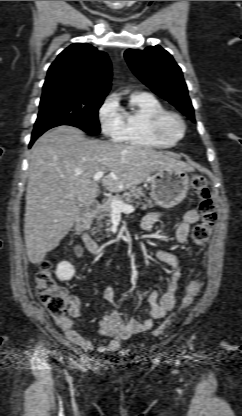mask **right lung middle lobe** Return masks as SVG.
I'll use <instances>...</instances> for the list:
<instances>
[{"label": "right lung middle lobe", "mask_w": 242, "mask_h": 416, "mask_svg": "<svg viewBox=\"0 0 242 416\" xmlns=\"http://www.w3.org/2000/svg\"><path fill=\"white\" fill-rule=\"evenodd\" d=\"M103 100L104 97L72 94L42 96L32 135L42 134L59 125H71L85 132L98 134L100 132L98 110Z\"/></svg>", "instance_id": "dd1d6c3e"}]
</instances>
